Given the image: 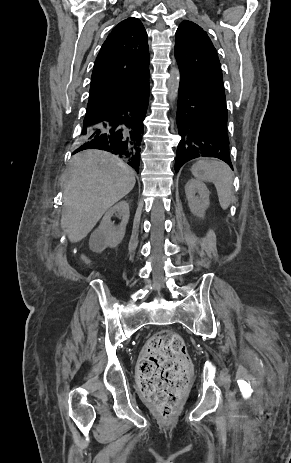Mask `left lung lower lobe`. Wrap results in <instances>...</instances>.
Returning <instances> with one entry per match:
<instances>
[{
	"label": "left lung lower lobe",
	"mask_w": 291,
	"mask_h": 463,
	"mask_svg": "<svg viewBox=\"0 0 291 463\" xmlns=\"http://www.w3.org/2000/svg\"><path fill=\"white\" fill-rule=\"evenodd\" d=\"M176 122L181 140L175 171L198 157H215L231 169L226 103L211 93L180 80Z\"/></svg>",
	"instance_id": "obj_1"
}]
</instances>
